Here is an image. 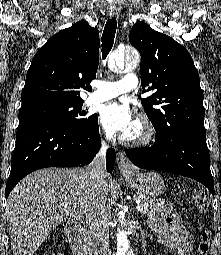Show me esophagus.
Here are the masks:
<instances>
[{
  "label": "esophagus",
  "mask_w": 221,
  "mask_h": 255,
  "mask_svg": "<svg viewBox=\"0 0 221 255\" xmlns=\"http://www.w3.org/2000/svg\"><path fill=\"white\" fill-rule=\"evenodd\" d=\"M108 15L111 18L118 17V12L116 8H109ZM116 161L118 164V168L121 172H131L134 170L133 166L130 164L128 158L126 157L125 153L120 151L116 155Z\"/></svg>",
  "instance_id": "1"
}]
</instances>
